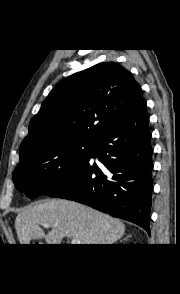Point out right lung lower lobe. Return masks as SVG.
<instances>
[{"label": "right lung lower lobe", "instance_id": "98d812e1", "mask_svg": "<svg viewBox=\"0 0 180 294\" xmlns=\"http://www.w3.org/2000/svg\"><path fill=\"white\" fill-rule=\"evenodd\" d=\"M148 121L145 101L100 134L89 159L47 195L86 204L149 233L153 163Z\"/></svg>", "mask_w": 180, "mask_h": 294}]
</instances>
